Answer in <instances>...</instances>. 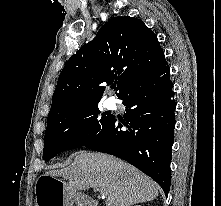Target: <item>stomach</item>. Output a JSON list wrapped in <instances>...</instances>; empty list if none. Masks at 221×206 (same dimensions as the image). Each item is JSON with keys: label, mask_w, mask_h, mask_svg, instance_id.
Masks as SVG:
<instances>
[{"label": "stomach", "mask_w": 221, "mask_h": 206, "mask_svg": "<svg viewBox=\"0 0 221 206\" xmlns=\"http://www.w3.org/2000/svg\"><path fill=\"white\" fill-rule=\"evenodd\" d=\"M44 184L45 187H41ZM81 195L64 181L49 174L42 175L36 186L35 206H72Z\"/></svg>", "instance_id": "1"}]
</instances>
